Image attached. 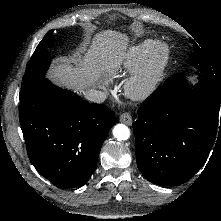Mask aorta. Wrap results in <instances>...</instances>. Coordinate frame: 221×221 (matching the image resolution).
<instances>
[{
  "instance_id": "762f6f07",
  "label": "aorta",
  "mask_w": 221,
  "mask_h": 221,
  "mask_svg": "<svg viewBox=\"0 0 221 221\" xmlns=\"http://www.w3.org/2000/svg\"><path fill=\"white\" fill-rule=\"evenodd\" d=\"M113 135L119 141L127 140L130 137V130L124 124H117L113 129Z\"/></svg>"
}]
</instances>
